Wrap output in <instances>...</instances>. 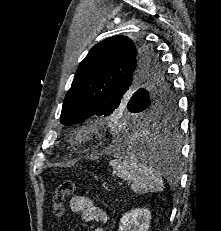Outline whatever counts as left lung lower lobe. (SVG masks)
<instances>
[{
  "label": "left lung lower lobe",
  "instance_id": "obj_1",
  "mask_svg": "<svg viewBox=\"0 0 221 231\" xmlns=\"http://www.w3.org/2000/svg\"><path fill=\"white\" fill-rule=\"evenodd\" d=\"M164 128H167L165 134L162 131ZM157 129L159 133L154 134ZM176 133V119L165 124H160V121L151 119L142 125L131 128L119 137L116 136L115 139L122 147L131 145L138 152L142 150L145 163L151 166L167 168L168 160H173L179 151Z\"/></svg>",
  "mask_w": 221,
  "mask_h": 231
}]
</instances>
